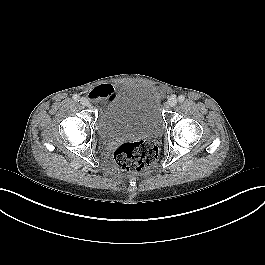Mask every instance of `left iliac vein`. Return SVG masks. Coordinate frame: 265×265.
<instances>
[{
  "instance_id": "left-iliac-vein-1",
  "label": "left iliac vein",
  "mask_w": 265,
  "mask_h": 265,
  "mask_svg": "<svg viewBox=\"0 0 265 265\" xmlns=\"http://www.w3.org/2000/svg\"><path fill=\"white\" fill-rule=\"evenodd\" d=\"M176 104H177V99H176L175 97H170V98L168 99V105H169L170 107H174Z\"/></svg>"
}]
</instances>
